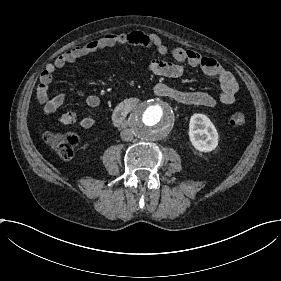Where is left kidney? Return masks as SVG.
Listing matches in <instances>:
<instances>
[{
  "mask_svg": "<svg viewBox=\"0 0 281 281\" xmlns=\"http://www.w3.org/2000/svg\"><path fill=\"white\" fill-rule=\"evenodd\" d=\"M189 140L195 150L203 153L214 151L219 144V135L210 118L195 113L190 118Z\"/></svg>",
  "mask_w": 281,
  "mask_h": 281,
  "instance_id": "obj_1",
  "label": "left kidney"
}]
</instances>
